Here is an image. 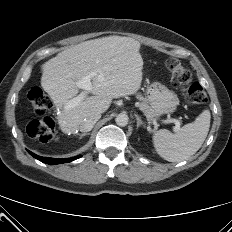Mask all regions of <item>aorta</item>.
Wrapping results in <instances>:
<instances>
[{
    "label": "aorta",
    "instance_id": "aorta-1",
    "mask_svg": "<svg viewBox=\"0 0 232 232\" xmlns=\"http://www.w3.org/2000/svg\"><path fill=\"white\" fill-rule=\"evenodd\" d=\"M129 118L126 114L120 113L116 116L115 122L118 126L124 127L128 124Z\"/></svg>",
    "mask_w": 232,
    "mask_h": 232
}]
</instances>
